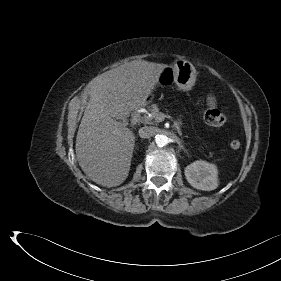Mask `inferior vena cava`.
<instances>
[{
	"label": "inferior vena cava",
	"instance_id": "obj_1",
	"mask_svg": "<svg viewBox=\"0 0 281 281\" xmlns=\"http://www.w3.org/2000/svg\"><path fill=\"white\" fill-rule=\"evenodd\" d=\"M156 133L155 127L145 126L139 129V136L141 138H150Z\"/></svg>",
	"mask_w": 281,
	"mask_h": 281
}]
</instances>
